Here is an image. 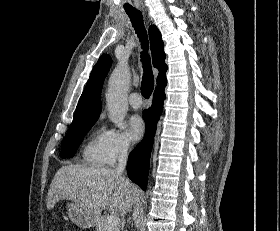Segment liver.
Here are the masks:
<instances>
[{"mask_svg": "<svg viewBox=\"0 0 280 231\" xmlns=\"http://www.w3.org/2000/svg\"><path fill=\"white\" fill-rule=\"evenodd\" d=\"M141 191L115 169L62 165L56 171L48 189L47 207L52 209L59 199H72L86 207L95 221L102 209L126 215L139 199Z\"/></svg>", "mask_w": 280, "mask_h": 231, "instance_id": "6515ba94", "label": "liver"}]
</instances>
